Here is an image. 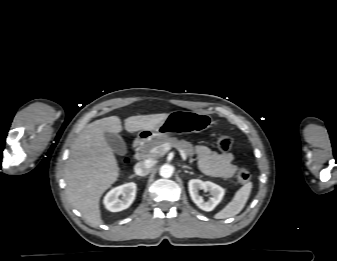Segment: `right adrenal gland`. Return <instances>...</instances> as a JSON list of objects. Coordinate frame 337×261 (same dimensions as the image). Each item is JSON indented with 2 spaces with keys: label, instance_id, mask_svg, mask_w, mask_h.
Masks as SVG:
<instances>
[{
  "label": "right adrenal gland",
  "instance_id": "2a0ac1e0",
  "mask_svg": "<svg viewBox=\"0 0 337 261\" xmlns=\"http://www.w3.org/2000/svg\"><path fill=\"white\" fill-rule=\"evenodd\" d=\"M131 177H136V175L134 174V175H132Z\"/></svg>",
  "mask_w": 337,
  "mask_h": 261
}]
</instances>
